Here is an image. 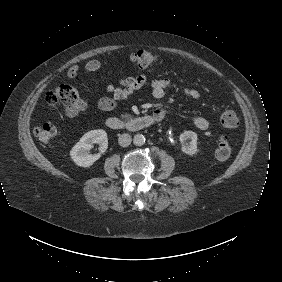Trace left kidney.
Masks as SVG:
<instances>
[{"label": "left kidney", "instance_id": "left-kidney-1", "mask_svg": "<svg viewBox=\"0 0 282 282\" xmlns=\"http://www.w3.org/2000/svg\"><path fill=\"white\" fill-rule=\"evenodd\" d=\"M197 139V134L193 131L181 133L179 137L181 150L188 155H194L197 152ZM187 140H190L189 143H187Z\"/></svg>", "mask_w": 282, "mask_h": 282}]
</instances>
